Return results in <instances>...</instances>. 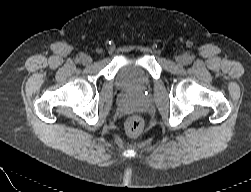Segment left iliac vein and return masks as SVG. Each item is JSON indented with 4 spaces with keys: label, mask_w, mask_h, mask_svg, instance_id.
Returning a JSON list of instances; mask_svg holds the SVG:
<instances>
[{
    "label": "left iliac vein",
    "mask_w": 251,
    "mask_h": 192,
    "mask_svg": "<svg viewBox=\"0 0 251 192\" xmlns=\"http://www.w3.org/2000/svg\"><path fill=\"white\" fill-rule=\"evenodd\" d=\"M186 58L184 56H178L176 58V62L179 64V65H185L186 63Z\"/></svg>",
    "instance_id": "obj_1"
}]
</instances>
